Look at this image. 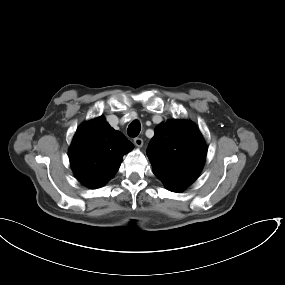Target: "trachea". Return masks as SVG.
I'll return each instance as SVG.
<instances>
[{
    "mask_svg": "<svg viewBox=\"0 0 285 285\" xmlns=\"http://www.w3.org/2000/svg\"><path fill=\"white\" fill-rule=\"evenodd\" d=\"M140 130H141L140 123L138 121H133L127 129V133L131 137H136L140 133Z\"/></svg>",
    "mask_w": 285,
    "mask_h": 285,
    "instance_id": "trachea-1",
    "label": "trachea"
}]
</instances>
